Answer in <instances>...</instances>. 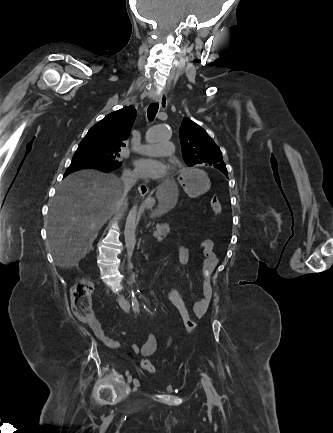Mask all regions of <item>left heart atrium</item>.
Listing matches in <instances>:
<instances>
[{
	"label": "left heart atrium",
	"mask_w": 333,
	"mask_h": 433,
	"mask_svg": "<svg viewBox=\"0 0 333 433\" xmlns=\"http://www.w3.org/2000/svg\"><path fill=\"white\" fill-rule=\"evenodd\" d=\"M134 164L137 174L146 179H161L167 171L166 165L154 158L142 157L137 159Z\"/></svg>",
	"instance_id": "obj_1"
}]
</instances>
